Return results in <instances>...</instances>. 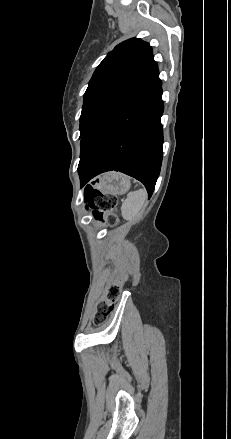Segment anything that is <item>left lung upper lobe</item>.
Wrapping results in <instances>:
<instances>
[{"instance_id": "obj_1", "label": "left lung upper lobe", "mask_w": 231, "mask_h": 439, "mask_svg": "<svg viewBox=\"0 0 231 439\" xmlns=\"http://www.w3.org/2000/svg\"><path fill=\"white\" fill-rule=\"evenodd\" d=\"M158 69L151 46L138 38L126 40L96 68L84 94L80 117L83 138L140 82Z\"/></svg>"}]
</instances>
